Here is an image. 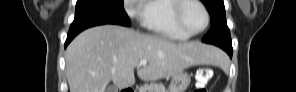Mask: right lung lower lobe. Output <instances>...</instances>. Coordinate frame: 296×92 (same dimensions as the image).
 I'll use <instances>...</instances> for the list:
<instances>
[{"mask_svg":"<svg viewBox=\"0 0 296 92\" xmlns=\"http://www.w3.org/2000/svg\"><path fill=\"white\" fill-rule=\"evenodd\" d=\"M105 23H96V22H86V23H81V24H71L68 35H67V40L65 42V47L69 44V42L81 31H83L86 28L96 26V25H102Z\"/></svg>","mask_w":296,"mask_h":92,"instance_id":"obj_1","label":"right lung lower lobe"}]
</instances>
